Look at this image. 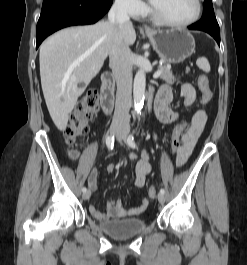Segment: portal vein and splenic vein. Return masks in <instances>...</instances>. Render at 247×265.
<instances>
[{"label": "portal vein and splenic vein", "instance_id": "portal-vein-and-splenic-vein-1", "mask_svg": "<svg viewBox=\"0 0 247 265\" xmlns=\"http://www.w3.org/2000/svg\"><path fill=\"white\" fill-rule=\"evenodd\" d=\"M161 71L158 70L154 73L153 78H158L160 76Z\"/></svg>", "mask_w": 247, "mask_h": 265}]
</instances>
